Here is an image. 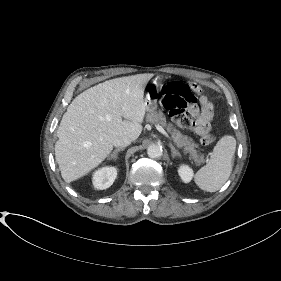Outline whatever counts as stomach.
Segmentation results:
<instances>
[{"label":"stomach","mask_w":281,"mask_h":281,"mask_svg":"<svg viewBox=\"0 0 281 281\" xmlns=\"http://www.w3.org/2000/svg\"><path fill=\"white\" fill-rule=\"evenodd\" d=\"M158 87H159V82L154 81L144 100L145 109L148 112H153L157 108V99L156 98H157V94H158Z\"/></svg>","instance_id":"obj_1"}]
</instances>
